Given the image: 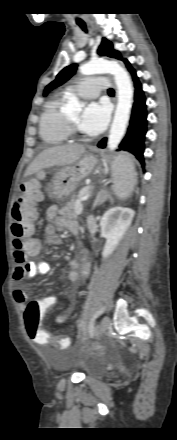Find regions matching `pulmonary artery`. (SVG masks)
I'll return each mask as SVG.
<instances>
[{"label": "pulmonary artery", "instance_id": "obj_1", "mask_svg": "<svg viewBox=\"0 0 177 440\" xmlns=\"http://www.w3.org/2000/svg\"><path fill=\"white\" fill-rule=\"evenodd\" d=\"M108 85L109 83L105 77L94 75L83 79L77 85L68 86L67 90L76 92L82 98L92 99L97 97Z\"/></svg>", "mask_w": 177, "mask_h": 440}]
</instances>
